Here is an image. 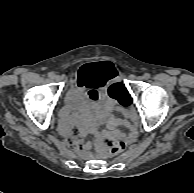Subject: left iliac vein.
I'll return each mask as SVG.
<instances>
[{"instance_id":"left-iliac-vein-1","label":"left iliac vein","mask_w":194,"mask_h":193,"mask_svg":"<svg viewBox=\"0 0 194 193\" xmlns=\"http://www.w3.org/2000/svg\"><path fill=\"white\" fill-rule=\"evenodd\" d=\"M138 79H139V80H142V79H144V77H138Z\"/></svg>"}]
</instances>
